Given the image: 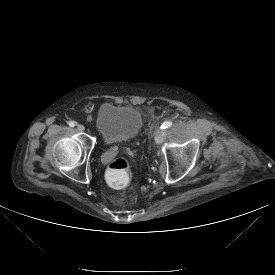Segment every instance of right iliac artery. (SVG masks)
Wrapping results in <instances>:
<instances>
[{"mask_svg":"<svg viewBox=\"0 0 275 275\" xmlns=\"http://www.w3.org/2000/svg\"><path fill=\"white\" fill-rule=\"evenodd\" d=\"M75 125H76V122H75V121H70V122H69V126H70V127H74Z\"/></svg>","mask_w":275,"mask_h":275,"instance_id":"82829eb1","label":"right iliac artery"}]
</instances>
